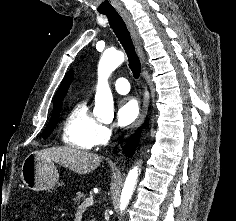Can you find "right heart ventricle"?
<instances>
[{
    "mask_svg": "<svg viewBox=\"0 0 236 221\" xmlns=\"http://www.w3.org/2000/svg\"><path fill=\"white\" fill-rule=\"evenodd\" d=\"M99 122L90 112L86 100L73 106L63 122L62 140L73 148L90 150L96 145Z\"/></svg>",
    "mask_w": 236,
    "mask_h": 221,
    "instance_id": "1",
    "label": "right heart ventricle"
}]
</instances>
